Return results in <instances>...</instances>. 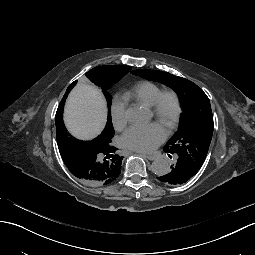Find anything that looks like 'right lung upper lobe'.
<instances>
[{"label":"right lung upper lobe","instance_id":"obj_1","mask_svg":"<svg viewBox=\"0 0 255 255\" xmlns=\"http://www.w3.org/2000/svg\"><path fill=\"white\" fill-rule=\"evenodd\" d=\"M90 71L86 73L88 78ZM89 79V78H88ZM76 82L72 83L60 102L56 116V138L58 148L61 154V157L70 170V172L79 179V160L82 155H87L90 157L93 154H96L100 157V178L97 181H82L90 185H107L115 181L121 172V157L117 151V148L111 145V138L114 135L113 125L111 123L107 124L104 131L100 136L95 138L92 141H82L72 137L69 132H67L64 123H63V108L65 100L68 96V93L73 88ZM76 142H87L90 145V150L87 153H82L74 149V144Z\"/></svg>","mask_w":255,"mask_h":255}]
</instances>
